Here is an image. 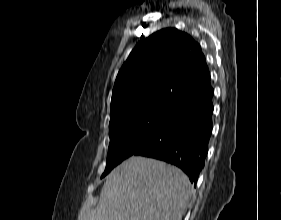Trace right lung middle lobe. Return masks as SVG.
Segmentation results:
<instances>
[{
    "mask_svg": "<svg viewBox=\"0 0 281 220\" xmlns=\"http://www.w3.org/2000/svg\"><path fill=\"white\" fill-rule=\"evenodd\" d=\"M169 114L144 113L121 117L109 124L110 144L106 168L101 177L133 155L164 124Z\"/></svg>",
    "mask_w": 281,
    "mask_h": 220,
    "instance_id": "obj_1",
    "label": "right lung middle lobe"
}]
</instances>
